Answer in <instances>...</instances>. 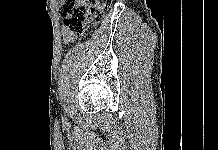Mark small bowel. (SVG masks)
Wrapping results in <instances>:
<instances>
[{"instance_id":"small-bowel-1","label":"small bowel","mask_w":218,"mask_h":150,"mask_svg":"<svg viewBox=\"0 0 218 150\" xmlns=\"http://www.w3.org/2000/svg\"><path fill=\"white\" fill-rule=\"evenodd\" d=\"M61 33H62L63 40L65 43H69L73 41L74 35L68 30L66 26L62 27Z\"/></svg>"}]
</instances>
